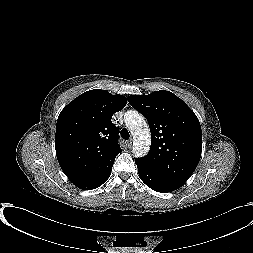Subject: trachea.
Segmentation results:
<instances>
[{
	"label": "trachea",
	"mask_w": 253,
	"mask_h": 253,
	"mask_svg": "<svg viewBox=\"0 0 253 253\" xmlns=\"http://www.w3.org/2000/svg\"><path fill=\"white\" fill-rule=\"evenodd\" d=\"M121 137H122L123 139H125V140L129 139L130 134H129V132H128V130H127L126 128H123V129L121 130Z\"/></svg>",
	"instance_id": "1"
}]
</instances>
